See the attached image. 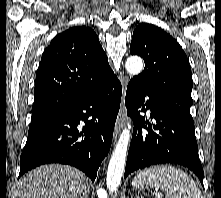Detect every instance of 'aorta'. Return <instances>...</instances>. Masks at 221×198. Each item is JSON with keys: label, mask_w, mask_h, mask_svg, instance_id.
<instances>
[{"label": "aorta", "mask_w": 221, "mask_h": 198, "mask_svg": "<svg viewBox=\"0 0 221 198\" xmlns=\"http://www.w3.org/2000/svg\"><path fill=\"white\" fill-rule=\"evenodd\" d=\"M125 67L131 75H138L143 69L142 59L138 56H130L126 60ZM129 142L130 125L128 124L120 134L108 165L106 184L110 191L116 190L121 183Z\"/></svg>", "instance_id": "aorta-1"}]
</instances>
